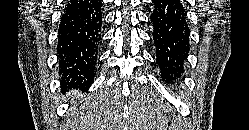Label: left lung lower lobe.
Returning <instances> with one entry per match:
<instances>
[{
	"label": "left lung lower lobe",
	"instance_id": "left-lung-lower-lobe-1",
	"mask_svg": "<svg viewBox=\"0 0 249 130\" xmlns=\"http://www.w3.org/2000/svg\"><path fill=\"white\" fill-rule=\"evenodd\" d=\"M150 21L162 79L166 83L179 80L190 46L184 4L179 0H153Z\"/></svg>",
	"mask_w": 249,
	"mask_h": 130
}]
</instances>
